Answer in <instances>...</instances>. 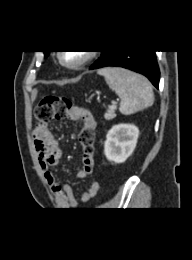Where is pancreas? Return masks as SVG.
<instances>
[{
	"mask_svg": "<svg viewBox=\"0 0 192 260\" xmlns=\"http://www.w3.org/2000/svg\"><path fill=\"white\" fill-rule=\"evenodd\" d=\"M117 109L116 105H110L104 114L106 120H112L116 117L115 111Z\"/></svg>",
	"mask_w": 192,
	"mask_h": 260,
	"instance_id": "1",
	"label": "pancreas"
}]
</instances>
